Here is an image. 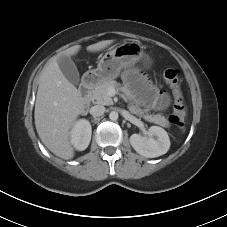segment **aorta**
<instances>
[{"label":"aorta","instance_id":"762f6f07","mask_svg":"<svg viewBox=\"0 0 227 227\" xmlns=\"http://www.w3.org/2000/svg\"><path fill=\"white\" fill-rule=\"evenodd\" d=\"M119 115L116 111H111L109 114V118L112 121H116L118 119Z\"/></svg>","mask_w":227,"mask_h":227}]
</instances>
